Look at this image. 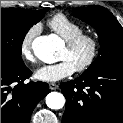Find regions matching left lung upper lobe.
Wrapping results in <instances>:
<instances>
[{
    "label": "left lung upper lobe",
    "instance_id": "1",
    "mask_svg": "<svg viewBox=\"0 0 123 123\" xmlns=\"http://www.w3.org/2000/svg\"><path fill=\"white\" fill-rule=\"evenodd\" d=\"M73 15L95 28L100 41L98 57L84 73L107 63L123 62V28L110 11L93 5L76 8Z\"/></svg>",
    "mask_w": 123,
    "mask_h": 123
}]
</instances>
